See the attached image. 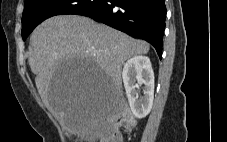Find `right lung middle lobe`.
Returning a JSON list of instances; mask_svg holds the SVG:
<instances>
[{"instance_id":"dd1d6c3e","label":"right lung middle lobe","mask_w":227,"mask_h":142,"mask_svg":"<svg viewBox=\"0 0 227 142\" xmlns=\"http://www.w3.org/2000/svg\"><path fill=\"white\" fill-rule=\"evenodd\" d=\"M105 0H28L22 15V38L28 35L42 21L60 14H78L101 5Z\"/></svg>"}]
</instances>
